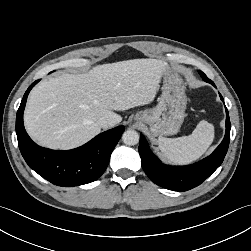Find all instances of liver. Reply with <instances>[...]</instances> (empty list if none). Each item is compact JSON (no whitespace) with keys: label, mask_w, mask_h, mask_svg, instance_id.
Masks as SVG:
<instances>
[{"label":"liver","mask_w":251,"mask_h":251,"mask_svg":"<svg viewBox=\"0 0 251 251\" xmlns=\"http://www.w3.org/2000/svg\"><path fill=\"white\" fill-rule=\"evenodd\" d=\"M166 67L162 60L133 59L44 79L28 97L25 128L42 146L78 147L100 133L99 118L117 125L122 117L114 111L152 102Z\"/></svg>","instance_id":"6515ba94"}]
</instances>
